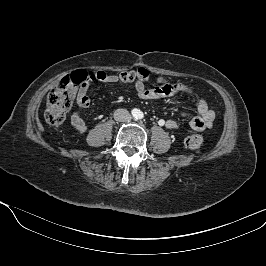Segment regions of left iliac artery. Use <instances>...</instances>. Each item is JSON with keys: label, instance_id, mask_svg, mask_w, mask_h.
Segmentation results:
<instances>
[{"label": "left iliac artery", "instance_id": "44dca946", "mask_svg": "<svg viewBox=\"0 0 266 266\" xmlns=\"http://www.w3.org/2000/svg\"><path fill=\"white\" fill-rule=\"evenodd\" d=\"M138 118L142 119L143 118V113H139Z\"/></svg>", "mask_w": 266, "mask_h": 266}]
</instances>
